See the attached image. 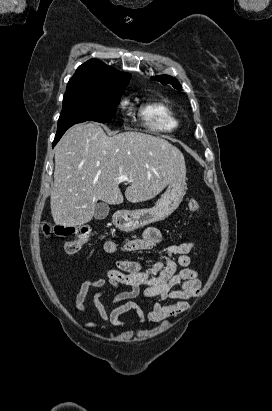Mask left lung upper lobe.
<instances>
[{"label":"left lung upper lobe","instance_id":"obj_1","mask_svg":"<svg viewBox=\"0 0 272 411\" xmlns=\"http://www.w3.org/2000/svg\"><path fill=\"white\" fill-rule=\"evenodd\" d=\"M151 80L159 81L163 85L171 84L174 88H176L178 90H182L181 85L179 84V82L171 76H167V75L155 76V77H151Z\"/></svg>","mask_w":272,"mask_h":411}]
</instances>
